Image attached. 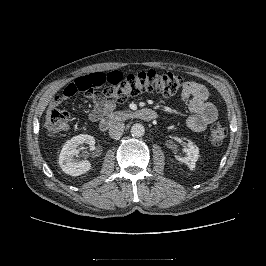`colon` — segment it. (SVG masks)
Segmentation results:
<instances>
[{
  "label": "colon",
  "mask_w": 266,
  "mask_h": 266,
  "mask_svg": "<svg viewBox=\"0 0 266 266\" xmlns=\"http://www.w3.org/2000/svg\"><path fill=\"white\" fill-rule=\"evenodd\" d=\"M183 86L180 75L172 72H159L155 70L123 75L118 71L109 73H93L78 77L63 91L61 97L65 99L79 92H91L104 87L103 94L113 102H125L129 97L147 91H154L164 96L176 94ZM62 101V103H63ZM61 103V104H62ZM54 102L45 111L44 126L48 134L55 135L69 128L70 117ZM227 135L226 128L221 124H214L209 130V140L213 146H220Z\"/></svg>",
  "instance_id": "5ec220e1"
}]
</instances>
